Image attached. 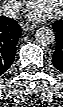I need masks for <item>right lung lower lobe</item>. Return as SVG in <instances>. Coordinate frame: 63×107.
<instances>
[{"mask_svg": "<svg viewBox=\"0 0 63 107\" xmlns=\"http://www.w3.org/2000/svg\"><path fill=\"white\" fill-rule=\"evenodd\" d=\"M20 35V26L15 20L0 16V75L11 66Z\"/></svg>", "mask_w": 63, "mask_h": 107, "instance_id": "obj_1", "label": "right lung lower lobe"}]
</instances>
